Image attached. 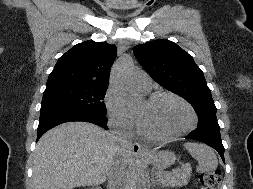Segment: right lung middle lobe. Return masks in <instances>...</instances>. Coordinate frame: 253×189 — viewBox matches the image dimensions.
Returning <instances> with one entry per match:
<instances>
[{
	"label": "right lung middle lobe",
	"mask_w": 253,
	"mask_h": 189,
	"mask_svg": "<svg viewBox=\"0 0 253 189\" xmlns=\"http://www.w3.org/2000/svg\"><path fill=\"white\" fill-rule=\"evenodd\" d=\"M107 87L60 86L44 91L41 111L50 109L87 112L105 116L106 106L102 101Z\"/></svg>",
	"instance_id": "obj_1"
}]
</instances>
